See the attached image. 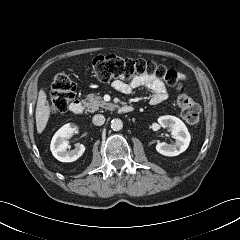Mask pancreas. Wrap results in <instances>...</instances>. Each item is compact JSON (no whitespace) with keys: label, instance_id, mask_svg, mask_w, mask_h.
<instances>
[{"label":"pancreas","instance_id":"cf45deb5","mask_svg":"<svg viewBox=\"0 0 240 240\" xmlns=\"http://www.w3.org/2000/svg\"><path fill=\"white\" fill-rule=\"evenodd\" d=\"M85 105L89 112H95L99 110V108L106 109V110H113L115 105L111 103H107L98 95L90 94L85 99Z\"/></svg>","mask_w":240,"mask_h":240}]
</instances>
